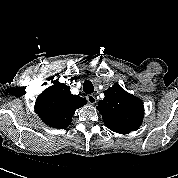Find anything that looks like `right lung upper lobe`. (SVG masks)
I'll use <instances>...</instances> for the list:
<instances>
[{"mask_svg": "<svg viewBox=\"0 0 178 178\" xmlns=\"http://www.w3.org/2000/svg\"><path fill=\"white\" fill-rule=\"evenodd\" d=\"M86 103L84 98L72 95L69 86L56 80L38 96L35 111L44 123L60 129L70 125L76 109Z\"/></svg>", "mask_w": 178, "mask_h": 178, "instance_id": "right-lung-upper-lobe-1", "label": "right lung upper lobe"}]
</instances>
